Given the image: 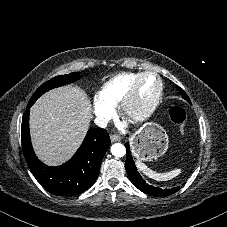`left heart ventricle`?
Returning <instances> with one entry per match:
<instances>
[{
    "label": "left heart ventricle",
    "mask_w": 227,
    "mask_h": 227,
    "mask_svg": "<svg viewBox=\"0 0 227 227\" xmlns=\"http://www.w3.org/2000/svg\"><path fill=\"white\" fill-rule=\"evenodd\" d=\"M157 88V83L152 77L145 78L139 87L138 98L133 106L134 111H138L146 105L154 96Z\"/></svg>",
    "instance_id": "left-heart-ventricle-1"
}]
</instances>
